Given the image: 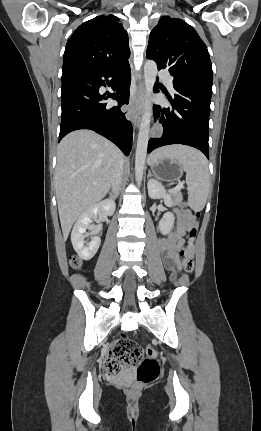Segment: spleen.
<instances>
[{
  "mask_svg": "<svg viewBox=\"0 0 261 431\" xmlns=\"http://www.w3.org/2000/svg\"><path fill=\"white\" fill-rule=\"evenodd\" d=\"M168 158L177 161L186 172L188 204L194 211H201L207 200L210 177L205 156L196 149L182 145H172L154 151L149 164Z\"/></svg>",
  "mask_w": 261,
  "mask_h": 431,
  "instance_id": "spleen-1",
  "label": "spleen"
}]
</instances>
